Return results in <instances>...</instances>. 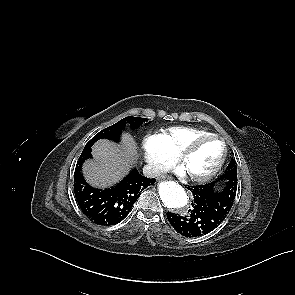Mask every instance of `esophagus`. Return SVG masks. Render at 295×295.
Masks as SVG:
<instances>
[{
  "instance_id": "obj_1",
  "label": "esophagus",
  "mask_w": 295,
  "mask_h": 295,
  "mask_svg": "<svg viewBox=\"0 0 295 295\" xmlns=\"http://www.w3.org/2000/svg\"><path fill=\"white\" fill-rule=\"evenodd\" d=\"M159 179H160V180L170 179V177L167 176V175H162V176L159 177Z\"/></svg>"
}]
</instances>
